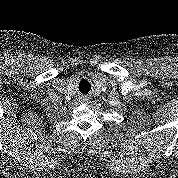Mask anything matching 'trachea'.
<instances>
[{"label":"trachea","mask_w":178,"mask_h":178,"mask_svg":"<svg viewBox=\"0 0 178 178\" xmlns=\"http://www.w3.org/2000/svg\"><path fill=\"white\" fill-rule=\"evenodd\" d=\"M78 88L81 93H89L91 90V85L87 80L84 79L80 81Z\"/></svg>","instance_id":"obj_1"}]
</instances>
